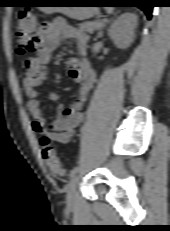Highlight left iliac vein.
Here are the masks:
<instances>
[{"mask_svg": "<svg viewBox=\"0 0 170 231\" xmlns=\"http://www.w3.org/2000/svg\"><path fill=\"white\" fill-rule=\"evenodd\" d=\"M79 184V176L75 175L71 178L68 186L66 202L69 206H73L76 202V190Z\"/></svg>", "mask_w": 170, "mask_h": 231, "instance_id": "1", "label": "left iliac vein"}]
</instances>
